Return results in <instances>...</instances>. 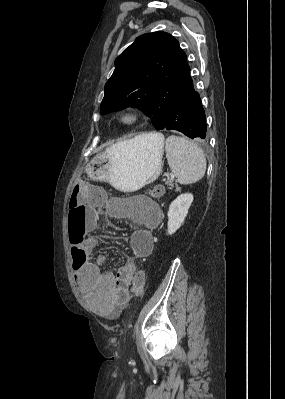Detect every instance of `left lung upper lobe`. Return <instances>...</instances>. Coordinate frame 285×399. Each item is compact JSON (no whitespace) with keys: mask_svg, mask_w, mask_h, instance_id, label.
<instances>
[{"mask_svg":"<svg viewBox=\"0 0 285 399\" xmlns=\"http://www.w3.org/2000/svg\"><path fill=\"white\" fill-rule=\"evenodd\" d=\"M105 85L101 114L139 107L162 130L172 102L191 79L187 56L179 42L165 32L138 37L116 58Z\"/></svg>","mask_w":285,"mask_h":399,"instance_id":"5c2ea615","label":"left lung upper lobe"}]
</instances>
